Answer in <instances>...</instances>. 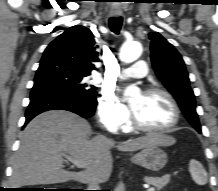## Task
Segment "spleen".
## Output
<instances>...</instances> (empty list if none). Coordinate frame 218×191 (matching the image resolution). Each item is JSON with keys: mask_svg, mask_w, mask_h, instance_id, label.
<instances>
[{"mask_svg": "<svg viewBox=\"0 0 218 191\" xmlns=\"http://www.w3.org/2000/svg\"><path fill=\"white\" fill-rule=\"evenodd\" d=\"M189 171L191 173L192 179L196 184L205 185L207 183V173L198 161L194 159L190 161Z\"/></svg>", "mask_w": 218, "mask_h": 191, "instance_id": "1", "label": "spleen"}]
</instances>
